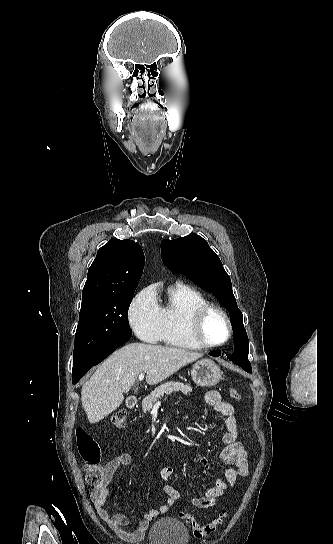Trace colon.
Wrapping results in <instances>:
<instances>
[{
    "mask_svg": "<svg viewBox=\"0 0 333 544\" xmlns=\"http://www.w3.org/2000/svg\"><path fill=\"white\" fill-rule=\"evenodd\" d=\"M231 398L236 401L241 400L239 392L231 388L229 391ZM111 424L117 429H124L127 425V415L124 410H118L111 416ZM76 442L78 452L84 462L86 470V482L91 490L100 489L105 483L104 467L101 464V449L96 440L84 429L76 430ZM182 518L187 522L193 534L197 538L206 537L214 533L222 524L226 513H221L212 522L201 524L189 513H183Z\"/></svg>",
    "mask_w": 333,
    "mask_h": 544,
    "instance_id": "obj_1",
    "label": "colon"
}]
</instances>
